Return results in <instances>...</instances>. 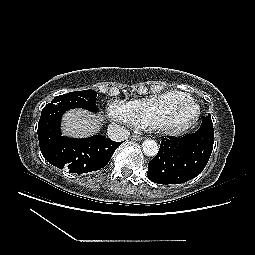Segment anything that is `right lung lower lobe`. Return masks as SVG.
Here are the masks:
<instances>
[{
    "label": "right lung lower lobe",
    "instance_id": "98d812e1",
    "mask_svg": "<svg viewBox=\"0 0 255 255\" xmlns=\"http://www.w3.org/2000/svg\"><path fill=\"white\" fill-rule=\"evenodd\" d=\"M45 134L38 130L39 143ZM121 142L94 135L85 139H73L61 135L60 128L51 135L48 147H40L45 159L59 169L82 174L104 168Z\"/></svg>",
    "mask_w": 255,
    "mask_h": 255
}]
</instances>
